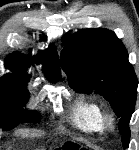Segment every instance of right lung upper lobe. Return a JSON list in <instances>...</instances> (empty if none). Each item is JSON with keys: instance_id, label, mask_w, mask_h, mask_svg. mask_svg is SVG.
Masks as SVG:
<instances>
[{"instance_id": "cb5924a9", "label": "right lung upper lobe", "mask_w": 139, "mask_h": 150, "mask_svg": "<svg viewBox=\"0 0 139 150\" xmlns=\"http://www.w3.org/2000/svg\"><path fill=\"white\" fill-rule=\"evenodd\" d=\"M33 62L44 64V72L49 80L55 81L60 78L58 55L52 45L38 56H25L18 52L9 55L5 60V67L12 70L13 74L11 75L28 77L24 72V68Z\"/></svg>"}]
</instances>
